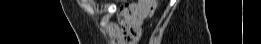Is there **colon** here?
<instances>
[{
    "instance_id": "colon-1",
    "label": "colon",
    "mask_w": 261,
    "mask_h": 44,
    "mask_svg": "<svg viewBox=\"0 0 261 44\" xmlns=\"http://www.w3.org/2000/svg\"><path fill=\"white\" fill-rule=\"evenodd\" d=\"M140 2L144 3V5L146 6L147 12H148V16L151 18L154 15V12L156 10V4L157 1L156 0H140ZM128 5H125L124 8H127Z\"/></svg>"
}]
</instances>
